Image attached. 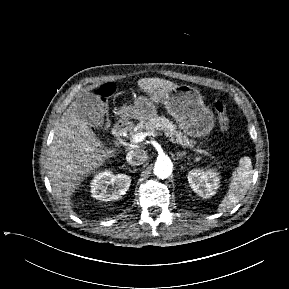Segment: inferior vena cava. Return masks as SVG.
<instances>
[{
  "mask_svg": "<svg viewBox=\"0 0 289 289\" xmlns=\"http://www.w3.org/2000/svg\"><path fill=\"white\" fill-rule=\"evenodd\" d=\"M126 160L130 165H141L147 160V154L144 150H131L126 155Z\"/></svg>",
  "mask_w": 289,
  "mask_h": 289,
  "instance_id": "1",
  "label": "inferior vena cava"
}]
</instances>
